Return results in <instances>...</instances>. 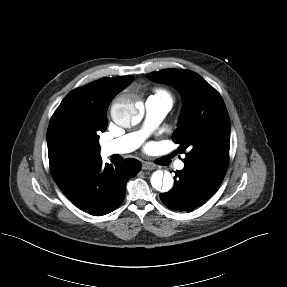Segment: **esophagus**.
Wrapping results in <instances>:
<instances>
[{
  "mask_svg": "<svg viewBox=\"0 0 287 287\" xmlns=\"http://www.w3.org/2000/svg\"><path fill=\"white\" fill-rule=\"evenodd\" d=\"M142 169H143V170H154V169H156V166H155L153 163L144 162V163L142 164Z\"/></svg>",
  "mask_w": 287,
  "mask_h": 287,
  "instance_id": "34e87169",
  "label": "esophagus"
}]
</instances>
